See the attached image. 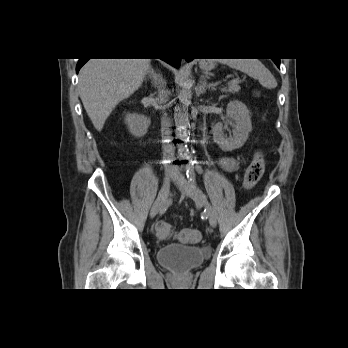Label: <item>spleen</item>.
I'll list each match as a JSON object with an SVG mask.
<instances>
[{
  "label": "spleen",
  "mask_w": 348,
  "mask_h": 348,
  "mask_svg": "<svg viewBox=\"0 0 348 348\" xmlns=\"http://www.w3.org/2000/svg\"><path fill=\"white\" fill-rule=\"evenodd\" d=\"M219 61L257 79L267 89L277 87V81L272 73L258 59H220Z\"/></svg>",
  "instance_id": "1"
}]
</instances>
